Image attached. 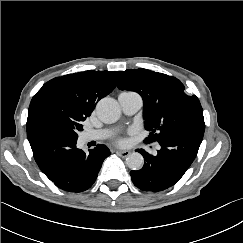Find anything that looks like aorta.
<instances>
[{
	"label": "aorta",
	"mask_w": 243,
	"mask_h": 243,
	"mask_svg": "<svg viewBox=\"0 0 243 243\" xmlns=\"http://www.w3.org/2000/svg\"><path fill=\"white\" fill-rule=\"evenodd\" d=\"M96 113L102 122L111 124L120 118L121 109L116 100L103 98L96 105ZM126 163L131 170H140L143 167L144 158L140 153L133 152L127 156Z\"/></svg>",
	"instance_id": "obj_1"
}]
</instances>
